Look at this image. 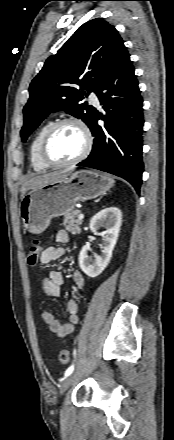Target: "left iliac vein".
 <instances>
[{
  "label": "left iliac vein",
  "instance_id": "1",
  "mask_svg": "<svg viewBox=\"0 0 174 440\" xmlns=\"http://www.w3.org/2000/svg\"><path fill=\"white\" fill-rule=\"evenodd\" d=\"M73 378H74V374H70L69 376L64 378V380L61 384L60 394H63L70 387Z\"/></svg>",
  "mask_w": 174,
  "mask_h": 440
}]
</instances>
